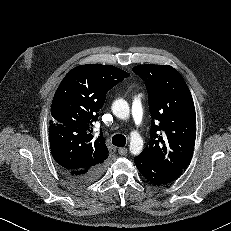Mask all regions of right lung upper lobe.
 Returning <instances> with one entry per match:
<instances>
[{
  "mask_svg": "<svg viewBox=\"0 0 231 231\" xmlns=\"http://www.w3.org/2000/svg\"><path fill=\"white\" fill-rule=\"evenodd\" d=\"M129 74L111 65L87 64L73 68L60 83L51 106L50 149L64 170H88L103 165L109 151L103 133L95 140L107 92Z\"/></svg>",
  "mask_w": 231,
  "mask_h": 231,
  "instance_id": "1",
  "label": "right lung upper lobe"
}]
</instances>
